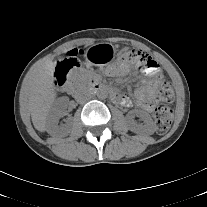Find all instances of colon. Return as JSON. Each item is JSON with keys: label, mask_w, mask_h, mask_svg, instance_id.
Wrapping results in <instances>:
<instances>
[{"label": "colon", "mask_w": 207, "mask_h": 207, "mask_svg": "<svg viewBox=\"0 0 207 207\" xmlns=\"http://www.w3.org/2000/svg\"><path fill=\"white\" fill-rule=\"evenodd\" d=\"M81 54H83V51L81 50L74 49L69 51L64 60L65 67L58 68L55 75L58 78H64L68 68L71 67L69 63L75 60V58ZM122 57L124 60H130L134 62L136 66L146 74L153 73L157 68V63L153 58L148 57L146 54L137 50L124 51L122 53ZM173 99L174 90L171 83L167 80H163L158 92V103L156 105L154 113L156 130L159 134L166 133L171 127L173 120V112L167 106V103L172 102Z\"/></svg>", "instance_id": "1"}]
</instances>
